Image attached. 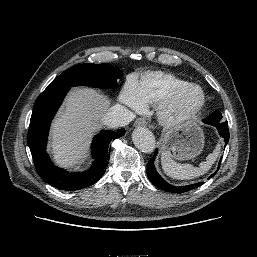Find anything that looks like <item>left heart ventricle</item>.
<instances>
[{"label": "left heart ventricle", "mask_w": 257, "mask_h": 257, "mask_svg": "<svg viewBox=\"0 0 257 257\" xmlns=\"http://www.w3.org/2000/svg\"><path fill=\"white\" fill-rule=\"evenodd\" d=\"M201 94L198 90H190L184 93L175 103V112H189L199 103Z\"/></svg>", "instance_id": "1"}]
</instances>
